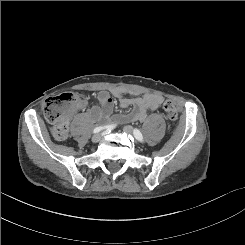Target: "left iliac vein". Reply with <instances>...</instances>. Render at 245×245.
I'll list each match as a JSON object with an SVG mask.
<instances>
[{
  "label": "left iliac vein",
  "mask_w": 245,
  "mask_h": 245,
  "mask_svg": "<svg viewBox=\"0 0 245 245\" xmlns=\"http://www.w3.org/2000/svg\"><path fill=\"white\" fill-rule=\"evenodd\" d=\"M123 131L125 132V133H127V134H133V132H134V130H133V128L131 127V126H124V128H123Z\"/></svg>",
  "instance_id": "left-iliac-vein-1"
}]
</instances>
